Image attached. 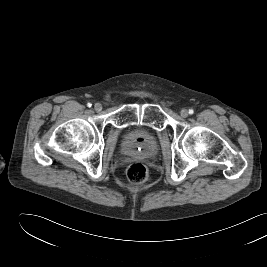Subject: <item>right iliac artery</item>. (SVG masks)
<instances>
[{
	"label": "right iliac artery",
	"mask_w": 267,
	"mask_h": 267,
	"mask_svg": "<svg viewBox=\"0 0 267 267\" xmlns=\"http://www.w3.org/2000/svg\"><path fill=\"white\" fill-rule=\"evenodd\" d=\"M91 105H92L91 103H89V102L87 103V106H88V107H91Z\"/></svg>",
	"instance_id": "1"
}]
</instances>
